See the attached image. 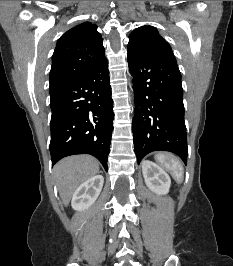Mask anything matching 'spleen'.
Returning <instances> with one entry per match:
<instances>
[{"label":"spleen","mask_w":233,"mask_h":266,"mask_svg":"<svg viewBox=\"0 0 233 266\" xmlns=\"http://www.w3.org/2000/svg\"><path fill=\"white\" fill-rule=\"evenodd\" d=\"M155 160L171 173L176 182L181 183L183 181V166L173 155L158 153L155 155Z\"/></svg>","instance_id":"3e777b00"}]
</instances>
